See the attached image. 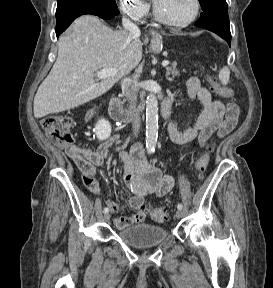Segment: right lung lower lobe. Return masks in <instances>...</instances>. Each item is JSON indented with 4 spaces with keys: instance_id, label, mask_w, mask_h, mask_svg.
<instances>
[{
    "instance_id": "1",
    "label": "right lung lower lobe",
    "mask_w": 273,
    "mask_h": 288,
    "mask_svg": "<svg viewBox=\"0 0 273 288\" xmlns=\"http://www.w3.org/2000/svg\"><path fill=\"white\" fill-rule=\"evenodd\" d=\"M86 14H91V15H96L99 16L103 19H111L115 17L116 15L112 14H100L94 11L86 10V11H74V12H69L65 13L59 17H56L57 24H56V36H58L73 22L74 19L81 15H86Z\"/></svg>"
}]
</instances>
